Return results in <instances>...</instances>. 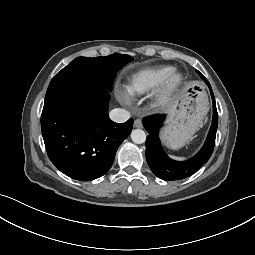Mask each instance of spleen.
<instances>
[{
	"mask_svg": "<svg viewBox=\"0 0 255 255\" xmlns=\"http://www.w3.org/2000/svg\"><path fill=\"white\" fill-rule=\"evenodd\" d=\"M173 159H177V160H183V157H176V156H171Z\"/></svg>",
	"mask_w": 255,
	"mask_h": 255,
	"instance_id": "obj_1",
	"label": "spleen"
}]
</instances>
